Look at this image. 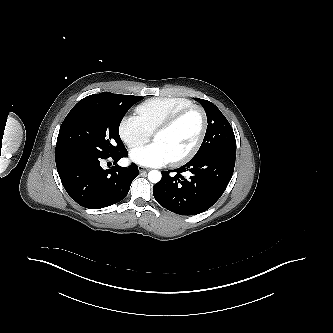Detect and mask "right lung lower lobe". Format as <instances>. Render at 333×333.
Wrapping results in <instances>:
<instances>
[{"mask_svg": "<svg viewBox=\"0 0 333 333\" xmlns=\"http://www.w3.org/2000/svg\"><path fill=\"white\" fill-rule=\"evenodd\" d=\"M126 156V149L111 156L78 147H56L55 150L57 171L65 190L79 205L89 209L108 207L126 197L138 176L137 165L111 169L100 165L103 160L116 163Z\"/></svg>", "mask_w": 333, "mask_h": 333, "instance_id": "obj_1", "label": "right lung lower lobe"}]
</instances>
